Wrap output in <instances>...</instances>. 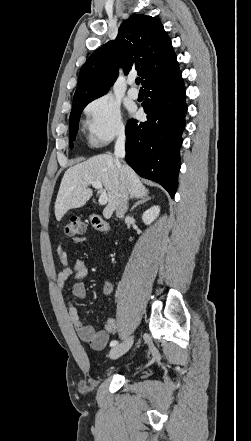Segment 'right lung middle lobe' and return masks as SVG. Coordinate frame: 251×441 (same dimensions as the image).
Listing matches in <instances>:
<instances>
[{
  "instance_id": "obj_1",
  "label": "right lung middle lobe",
  "mask_w": 251,
  "mask_h": 441,
  "mask_svg": "<svg viewBox=\"0 0 251 441\" xmlns=\"http://www.w3.org/2000/svg\"><path fill=\"white\" fill-rule=\"evenodd\" d=\"M96 98H84L73 101V107L70 114V120H69V128H70V147H73V140L75 139V136L78 131V125H79V118L83 111V109L86 107L88 103H90L92 100Z\"/></svg>"
}]
</instances>
